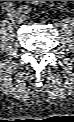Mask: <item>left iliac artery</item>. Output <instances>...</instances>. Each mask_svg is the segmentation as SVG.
<instances>
[{"instance_id":"left-iliac-artery-1","label":"left iliac artery","mask_w":74,"mask_h":122,"mask_svg":"<svg viewBox=\"0 0 74 122\" xmlns=\"http://www.w3.org/2000/svg\"><path fill=\"white\" fill-rule=\"evenodd\" d=\"M21 9H22V12L25 14H28L30 12V8L28 6H23Z\"/></svg>"}]
</instances>
